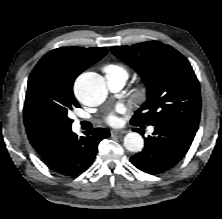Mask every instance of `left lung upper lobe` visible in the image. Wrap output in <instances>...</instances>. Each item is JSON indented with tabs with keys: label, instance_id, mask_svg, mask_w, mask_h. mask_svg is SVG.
Returning a JSON list of instances; mask_svg holds the SVG:
<instances>
[{
	"label": "left lung upper lobe",
	"instance_id": "1",
	"mask_svg": "<svg viewBox=\"0 0 222 219\" xmlns=\"http://www.w3.org/2000/svg\"><path fill=\"white\" fill-rule=\"evenodd\" d=\"M112 53L131 66L147 85V100L132 124L175 123L196 132L201 112L199 82L188 60L159 41L113 46Z\"/></svg>",
	"mask_w": 222,
	"mask_h": 219
}]
</instances>
